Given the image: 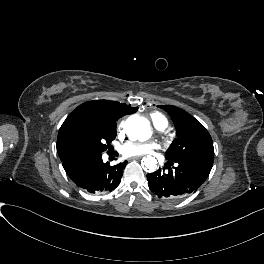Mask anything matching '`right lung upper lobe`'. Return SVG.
I'll return each mask as SVG.
<instances>
[{"mask_svg": "<svg viewBox=\"0 0 264 264\" xmlns=\"http://www.w3.org/2000/svg\"><path fill=\"white\" fill-rule=\"evenodd\" d=\"M99 102L97 107L87 108L83 104L76 108L59 130L57 151L66 173L76 184L110 166L103 162L102 154L111 150L116 121L138 109L118 102Z\"/></svg>", "mask_w": 264, "mask_h": 264, "instance_id": "right-lung-upper-lobe-1", "label": "right lung upper lobe"}]
</instances>
